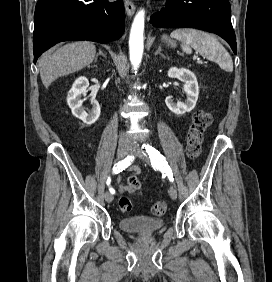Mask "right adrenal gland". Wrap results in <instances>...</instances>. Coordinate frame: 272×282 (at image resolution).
Segmentation results:
<instances>
[{"mask_svg": "<svg viewBox=\"0 0 272 282\" xmlns=\"http://www.w3.org/2000/svg\"><path fill=\"white\" fill-rule=\"evenodd\" d=\"M102 55L103 57L106 58V55L103 53V51L101 49H99L97 55L95 56V61H97L98 56Z\"/></svg>", "mask_w": 272, "mask_h": 282, "instance_id": "obj_1", "label": "right adrenal gland"}]
</instances>
